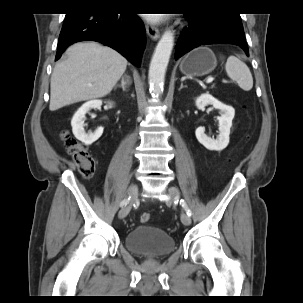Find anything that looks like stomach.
<instances>
[{"label":"stomach","instance_id":"1","mask_svg":"<svg viewBox=\"0 0 303 303\" xmlns=\"http://www.w3.org/2000/svg\"><path fill=\"white\" fill-rule=\"evenodd\" d=\"M217 65L214 53L208 47H198L188 53L180 63V71L186 76H204Z\"/></svg>","mask_w":303,"mask_h":303}]
</instances>
